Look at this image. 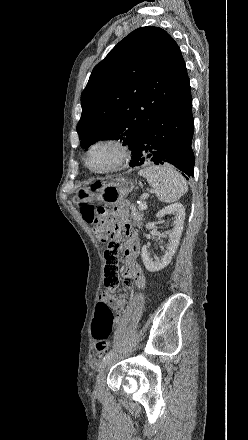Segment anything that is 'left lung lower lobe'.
Returning a JSON list of instances; mask_svg holds the SVG:
<instances>
[{
	"label": "left lung lower lobe",
	"mask_w": 248,
	"mask_h": 440,
	"mask_svg": "<svg viewBox=\"0 0 248 440\" xmlns=\"http://www.w3.org/2000/svg\"><path fill=\"white\" fill-rule=\"evenodd\" d=\"M193 131L189 85L146 126L132 148L130 166L139 167L146 162L171 165L180 170L186 179L187 176L193 177Z\"/></svg>",
	"instance_id": "left-lung-lower-lobe-1"
}]
</instances>
